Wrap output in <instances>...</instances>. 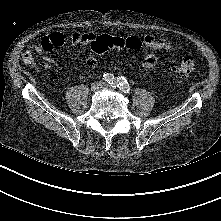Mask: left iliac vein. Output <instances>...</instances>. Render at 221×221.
<instances>
[{
    "label": "left iliac vein",
    "instance_id": "4c4485c4",
    "mask_svg": "<svg viewBox=\"0 0 221 221\" xmlns=\"http://www.w3.org/2000/svg\"><path fill=\"white\" fill-rule=\"evenodd\" d=\"M103 88L108 89V90H114L113 86H111V85H109L107 83L104 84Z\"/></svg>",
    "mask_w": 221,
    "mask_h": 221
}]
</instances>
